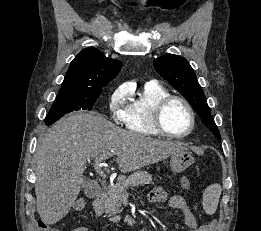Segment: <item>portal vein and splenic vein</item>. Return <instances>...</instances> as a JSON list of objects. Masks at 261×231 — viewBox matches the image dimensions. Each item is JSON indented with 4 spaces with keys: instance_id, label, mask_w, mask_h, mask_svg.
<instances>
[{
    "instance_id": "18ae733b",
    "label": "portal vein and splenic vein",
    "mask_w": 261,
    "mask_h": 231,
    "mask_svg": "<svg viewBox=\"0 0 261 231\" xmlns=\"http://www.w3.org/2000/svg\"><path fill=\"white\" fill-rule=\"evenodd\" d=\"M113 154H115V151H104L102 154L100 155H97L95 157V161H94V165H95V168H96V171L99 173V175L102 177V178H106V174L104 173V171L101 170L99 166V164L106 158L112 156Z\"/></svg>"
}]
</instances>
